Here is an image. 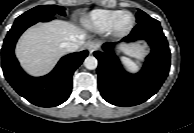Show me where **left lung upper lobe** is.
Returning a JSON list of instances; mask_svg holds the SVG:
<instances>
[{
  "mask_svg": "<svg viewBox=\"0 0 194 133\" xmlns=\"http://www.w3.org/2000/svg\"><path fill=\"white\" fill-rule=\"evenodd\" d=\"M149 17H150L149 15H147L145 12H143L140 9L136 13L137 23L142 22V21L148 19Z\"/></svg>",
  "mask_w": 194,
  "mask_h": 133,
  "instance_id": "5c2ea615",
  "label": "left lung upper lobe"
}]
</instances>
